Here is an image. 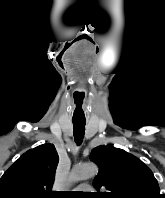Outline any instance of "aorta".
I'll return each instance as SVG.
<instances>
[{
  "mask_svg": "<svg viewBox=\"0 0 165 198\" xmlns=\"http://www.w3.org/2000/svg\"><path fill=\"white\" fill-rule=\"evenodd\" d=\"M98 168L95 164H77L75 165L68 176V183L83 181L95 176Z\"/></svg>",
  "mask_w": 165,
  "mask_h": 198,
  "instance_id": "762f6f07",
  "label": "aorta"
}]
</instances>
